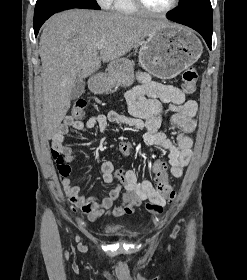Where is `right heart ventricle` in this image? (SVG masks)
<instances>
[{
	"instance_id": "1",
	"label": "right heart ventricle",
	"mask_w": 247,
	"mask_h": 280,
	"mask_svg": "<svg viewBox=\"0 0 247 280\" xmlns=\"http://www.w3.org/2000/svg\"><path fill=\"white\" fill-rule=\"evenodd\" d=\"M111 8L113 11L125 15H133L139 12L132 0H112Z\"/></svg>"
}]
</instances>
